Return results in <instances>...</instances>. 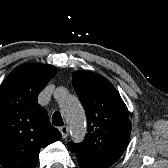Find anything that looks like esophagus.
<instances>
[{
	"instance_id": "1",
	"label": "esophagus",
	"mask_w": 168,
	"mask_h": 168,
	"mask_svg": "<svg viewBox=\"0 0 168 168\" xmlns=\"http://www.w3.org/2000/svg\"><path fill=\"white\" fill-rule=\"evenodd\" d=\"M63 138H66L68 136L69 128L67 126H62L59 128Z\"/></svg>"
}]
</instances>
